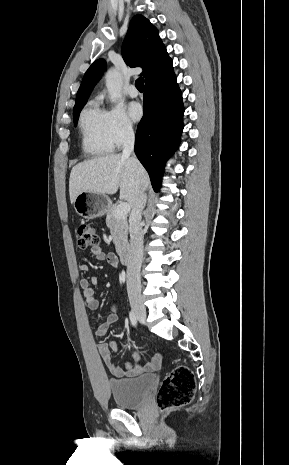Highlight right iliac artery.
<instances>
[{"label":"right iliac artery","instance_id":"right-iliac-artery-1","mask_svg":"<svg viewBox=\"0 0 289 465\" xmlns=\"http://www.w3.org/2000/svg\"><path fill=\"white\" fill-rule=\"evenodd\" d=\"M129 317H130L131 323H132L134 326H136V325H137V316H136V314L133 312V310L130 311Z\"/></svg>","mask_w":289,"mask_h":465}]
</instances>
